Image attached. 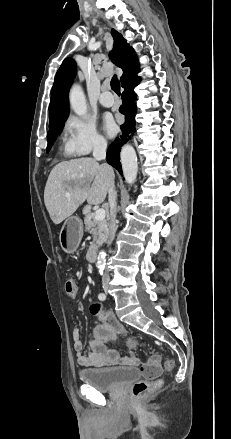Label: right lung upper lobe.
<instances>
[{"instance_id": "1", "label": "right lung upper lobe", "mask_w": 231, "mask_h": 439, "mask_svg": "<svg viewBox=\"0 0 231 439\" xmlns=\"http://www.w3.org/2000/svg\"><path fill=\"white\" fill-rule=\"evenodd\" d=\"M111 34L114 38V48L109 56L111 61L124 72L120 78L123 87L132 80L139 78L137 73L140 70V66L135 51L129 46L122 35L114 29ZM76 70L75 62L71 58H66L56 73L49 106L50 128L62 123L68 117V92L76 75Z\"/></svg>"}]
</instances>
